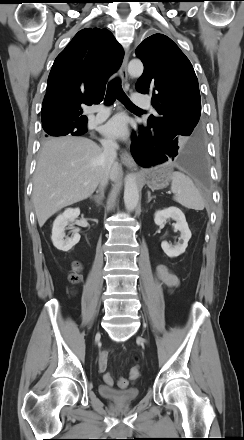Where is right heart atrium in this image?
<instances>
[{
  "instance_id": "obj_1",
  "label": "right heart atrium",
  "mask_w": 244,
  "mask_h": 440,
  "mask_svg": "<svg viewBox=\"0 0 244 440\" xmlns=\"http://www.w3.org/2000/svg\"><path fill=\"white\" fill-rule=\"evenodd\" d=\"M104 142H105L106 144H109V143H110V141H109V140H104Z\"/></svg>"
}]
</instances>
